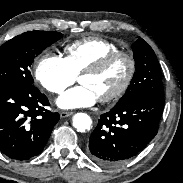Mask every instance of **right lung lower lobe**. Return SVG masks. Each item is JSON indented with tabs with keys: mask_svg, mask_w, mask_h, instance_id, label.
<instances>
[{
	"mask_svg": "<svg viewBox=\"0 0 183 183\" xmlns=\"http://www.w3.org/2000/svg\"><path fill=\"white\" fill-rule=\"evenodd\" d=\"M49 105L33 84L0 85V151L17 160L41 153L60 119Z\"/></svg>",
	"mask_w": 183,
	"mask_h": 183,
	"instance_id": "obj_1",
	"label": "right lung lower lobe"
}]
</instances>
